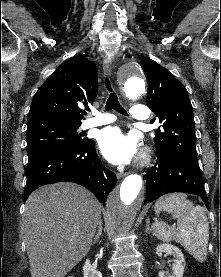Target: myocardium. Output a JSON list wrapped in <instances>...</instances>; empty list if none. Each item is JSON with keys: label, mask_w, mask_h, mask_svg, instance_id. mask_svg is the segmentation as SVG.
<instances>
[{"label": "myocardium", "mask_w": 221, "mask_h": 277, "mask_svg": "<svg viewBox=\"0 0 221 277\" xmlns=\"http://www.w3.org/2000/svg\"><path fill=\"white\" fill-rule=\"evenodd\" d=\"M150 161V153L147 149L143 150L138 158L137 164L139 166H144Z\"/></svg>", "instance_id": "myocardium-1"}]
</instances>
